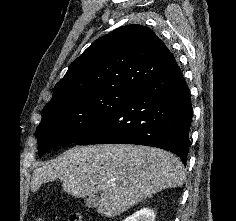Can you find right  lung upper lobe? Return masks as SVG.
<instances>
[{
  "mask_svg": "<svg viewBox=\"0 0 236 221\" xmlns=\"http://www.w3.org/2000/svg\"><path fill=\"white\" fill-rule=\"evenodd\" d=\"M176 63L155 33L143 25H126L95 40L75 59L55 85L45 105L113 89L137 90Z\"/></svg>",
  "mask_w": 236,
  "mask_h": 221,
  "instance_id": "obj_1",
  "label": "right lung upper lobe"
}]
</instances>
